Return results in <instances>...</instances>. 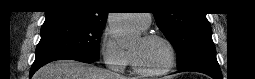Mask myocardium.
Returning a JSON list of instances; mask_svg holds the SVG:
<instances>
[{
  "label": "myocardium",
  "instance_id": "1",
  "mask_svg": "<svg viewBox=\"0 0 255 79\" xmlns=\"http://www.w3.org/2000/svg\"><path fill=\"white\" fill-rule=\"evenodd\" d=\"M143 39L145 41H152V40L162 41L167 46V49H168V61H167L166 65L160 70L147 71L140 67L139 63L136 60V57L131 52L130 53L131 63H132V66H133V69L135 70V72L139 75L147 76V77L159 76V75H163V74L169 72L173 68V66L176 62V51H175V48H174V45L172 44V42L165 36H163L161 34H156V33L147 34V35L143 36Z\"/></svg>",
  "mask_w": 255,
  "mask_h": 79
}]
</instances>
